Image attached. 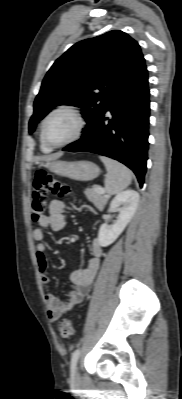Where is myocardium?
Masks as SVG:
<instances>
[{
    "label": "myocardium",
    "mask_w": 182,
    "mask_h": 399,
    "mask_svg": "<svg viewBox=\"0 0 182 399\" xmlns=\"http://www.w3.org/2000/svg\"><path fill=\"white\" fill-rule=\"evenodd\" d=\"M60 112H66V113H70L71 115H73L77 121V127H76L74 134L66 141L61 142V143H52L46 137V125L52 116H54L55 114L60 113ZM85 128H86V119H85L83 113L77 107L72 106V105H60V106H57L56 108H54L53 110H51L45 116V118L42 122V126H41V138H42L43 142L50 148H60V147H64L66 145H69V144L77 141L82 136Z\"/></svg>",
    "instance_id": "f54148a6"
}]
</instances>
